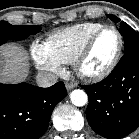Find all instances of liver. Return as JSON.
<instances>
[{
    "mask_svg": "<svg viewBox=\"0 0 139 139\" xmlns=\"http://www.w3.org/2000/svg\"><path fill=\"white\" fill-rule=\"evenodd\" d=\"M28 71V55L22 47L7 44L0 48V81L9 83L24 81Z\"/></svg>",
    "mask_w": 139,
    "mask_h": 139,
    "instance_id": "6515ba94",
    "label": "liver"
}]
</instances>
